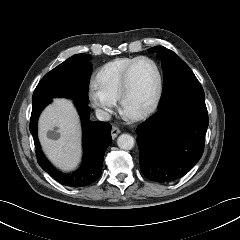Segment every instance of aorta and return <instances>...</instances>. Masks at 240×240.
I'll use <instances>...</instances> for the list:
<instances>
[{
	"label": "aorta",
	"instance_id": "aorta-1",
	"mask_svg": "<svg viewBox=\"0 0 240 240\" xmlns=\"http://www.w3.org/2000/svg\"><path fill=\"white\" fill-rule=\"evenodd\" d=\"M134 144V138L130 134H122L117 139L118 147L123 150H131Z\"/></svg>",
	"mask_w": 240,
	"mask_h": 240
}]
</instances>
